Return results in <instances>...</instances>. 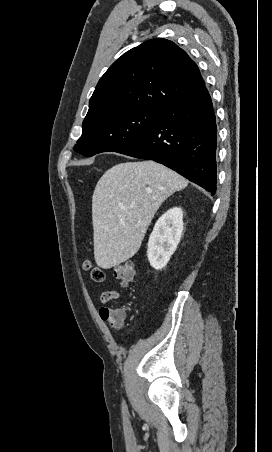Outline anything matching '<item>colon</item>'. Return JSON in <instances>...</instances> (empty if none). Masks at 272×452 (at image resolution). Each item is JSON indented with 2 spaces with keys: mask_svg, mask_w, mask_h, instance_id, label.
Segmentation results:
<instances>
[{
  "mask_svg": "<svg viewBox=\"0 0 272 452\" xmlns=\"http://www.w3.org/2000/svg\"><path fill=\"white\" fill-rule=\"evenodd\" d=\"M85 270L90 271L91 277L95 282H103L106 278L102 268L96 266L93 261L86 260L83 263ZM114 275L124 285H128L133 282L135 271L131 262H123L114 268ZM121 310V309H120Z\"/></svg>",
  "mask_w": 272,
  "mask_h": 452,
  "instance_id": "1",
  "label": "colon"
}]
</instances>
